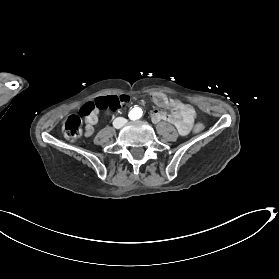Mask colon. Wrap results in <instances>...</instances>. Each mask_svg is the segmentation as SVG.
<instances>
[{"mask_svg":"<svg viewBox=\"0 0 279 279\" xmlns=\"http://www.w3.org/2000/svg\"><path fill=\"white\" fill-rule=\"evenodd\" d=\"M130 101L127 95H113V96H101L96 98L94 101L85 103L81 109L80 113L84 116L88 115L93 110H118ZM185 109L195 116V110L193 107L185 106ZM205 126L203 123H196L194 126L195 133H201ZM62 132L64 137L69 141H77L81 138L83 134V122L79 115H70L63 123Z\"/></svg>","mask_w":279,"mask_h":279,"instance_id":"1","label":"colon"}]
</instances>
